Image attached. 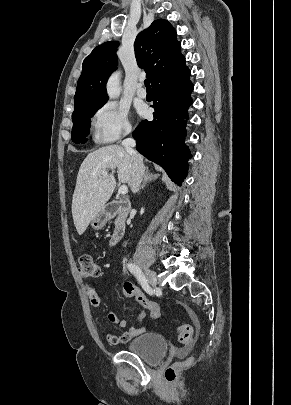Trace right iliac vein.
<instances>
[{
    "mask_svg": "<svg viewBox=\"0 0 291 405\" xmlns=\"http://www.w3.org/2000/svg\"><path fill=\"white\" fill-rule=\"evenodd\" d=\"M145 275L147 277L148 282L152 287H156L157 285V277L155 273L150 269H145Z\"/></svg>",
    "mask_w": 291,
    "mask_h": 405,
    "instance_id": "obj_1",
    "label": "right iliac vein"
}]
</instances>
